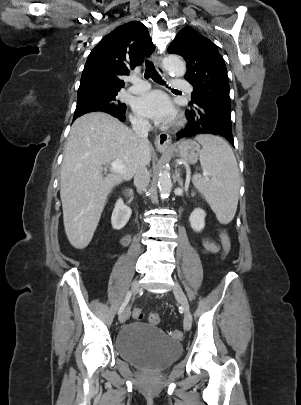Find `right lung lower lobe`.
I'll return each mask as SVG.
<instances>
[{
	"label": "right lung lower lobe",
	"instance_id": "1",
	"mask_svg": "<svg viewBox=\"0 0 301 405\" xmlns=\"http://www.w3.org/2000/svg\"><path fill=\"white\" fill-rule=\"evenodd\" d=\"M110 115L117 117L119 120L124 121L125 120V113H109ZM77 117H74L76 119Z\"/></svg>",
	"mask_w": 301,
	"mask_h": 405
}]
</instances>
